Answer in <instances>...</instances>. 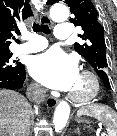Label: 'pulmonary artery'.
I'll return each mask as SVG.
<instances>
[{
  "mask_svg": "<svg viewBox=\"0 0 117 136\" xmlns=\"http://www.w3.org/2000/svg\"><path fill=\"white\" fill-rule=\"evenodd\" d=\"M70 28L66 23H60L55 29V37L57 39H68L70 37ZM48 41L43 37L34 36L28 42L23 43L19 47L21 53H34L45 49Z\"/></svg>",
  "mask_w": 117,
  "mask_h": 136,
  "instance_id": "1",
  "label": "pulmonary artery"
}]
</instances>
